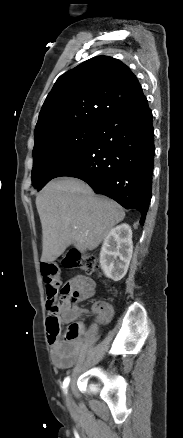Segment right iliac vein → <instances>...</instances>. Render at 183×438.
Masks as SVG:
<instances>
[{"mask_svg":"<svg viewBox=\"0 0 183 438\" xmlns=\"http://www.w3.org/2000/svg\"><path fill=\"white\" fill-rule=\"evenodd\" d=\"M66 402H67V405H68L69 407H72V405H73V400H72V396H71V394H70L69 391H67V394H66Z\"/></svg>","mask_w":183,"mask_h":438,"instance_id":"63e3f726","label":"right iliac vein"}]
</instances>
